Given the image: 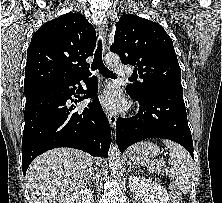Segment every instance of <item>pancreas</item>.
Returning a JSON list of instances; mask_svg holds the SVG:
<instances>
[{
    "instance_id": "obj_1",
    "label": "pancreas",
    "mask_w": 222,
    "mask_h": 203,
    "mask_svg": "<svg viewBox=\"0 0 222 203\" xmlns=\"http://www.w3.org/2000/svg\"><path fill=\"white\" fill-rule=\"evenodd\" d=\"M158 161H154V162H147V166L149 168H151L155 173H162L163 172V165L164 164H161V165H156Z\"/></svg>"
}]
</instances>
